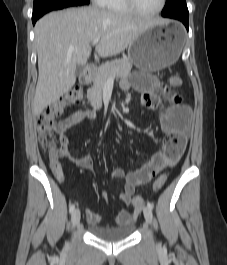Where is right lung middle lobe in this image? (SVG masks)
I'll use <instances>...</instances> for the list:
<instances>
[{"label": "right lung middle lobe", "mask_w": 227, "mask_h": 265, "mask_svg": "<svg viewBox=\"0 0 227 265\" xmlns=\"http://www.w3.org/2000/svg\"><path fill=\"white\" fill-rule=\"evenodd\" d=\"M87 4H89V0H34L32 18H40L42 15L52 10Z\"/></svg>", "instance_id": "dd1d6c3e"}]
</instances>
